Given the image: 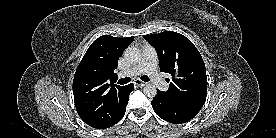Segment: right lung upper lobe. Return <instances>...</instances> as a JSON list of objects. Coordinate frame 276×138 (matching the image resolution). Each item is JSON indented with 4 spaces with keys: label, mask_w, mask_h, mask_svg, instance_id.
I'll return each mask as SVG.
<instances>
[{
    "label": "right lung upper lobe",
    "mask_w": 276,
    "mask_h": 138,
    "mask_svg": "<svg viewBox=\"0 0 276 138\" xmlns=\"http://www.w3.org/2000/svg\"><path fill=\"white\" fill-rule=\"evenodd\" d=\"M134 37L116 38L103 35L88 48L73 80L76 110L91 127L113 126L125 105L127 85L114 84L118 59Z\"/></svg>",
    "instance_id": "obj_1"
}]
</instances>
